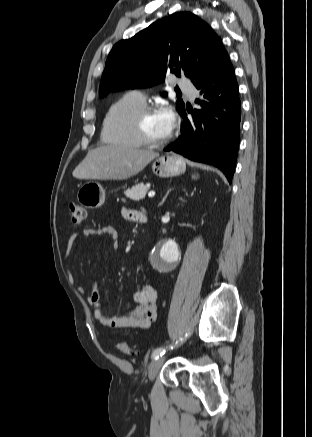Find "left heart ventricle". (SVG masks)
Wrapping results in <instances>:
<instances>
[{"instance_id":"b2bd125f","label":"left heart ventricle","mask_w":312,"mask_h":437,"mask_svg":"<svg viewBox=\"0 0 312 437\" xmlns=\"http://www.w3.org/2000/svg\"><path fill=\"white\" fill-rule=\"evenodd\" d=\"M142 126L146 135L153 140H163L169 135L164 129L159 112L147 115L143 119Z\"/></svg>"}]
</instances>
